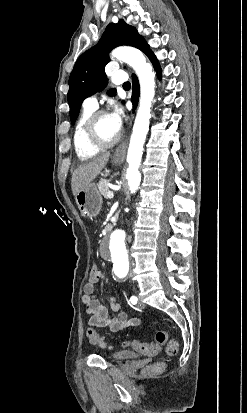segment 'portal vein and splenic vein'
Segmentation results:
<instances>
[{
    "label": "portal vein and splenic vein",
    "mask_w": 247,
    "mask_h": 413,
    "mask_svg": "<svg viewBox=\"0 0 247 413\" xmlns=\"http://www.w3.org/2000/svg\"><path fill=\"white\" fill-rule=\"evenodd\" d=\"M107 196H108V198H113L114 194H113L112 190H108Z\"/></svg>",
    "instance_id": "portal-vein-and-splenic-vein-1"
}]
</instances>
